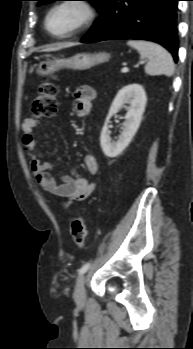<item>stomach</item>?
Segmentation results:
<instances>
[{
	"mask_svg": "<svg viewBox=\"0 0 193 349\" xmlns=\"http://www.w3.org/2000/svg\"><path fill=\"white\" fill-rule=\"evenodd\" d=\"M110 54L100 52L95 54L78 53L68 58L46 59L36 63L32 70L39 77H46L60 69L86 70L108 61Z\"/></svg>",
	"mask_w": 193,
	"mask_h": 349,
	"instance_id": "stomach-1",
	"label": "stomach"
}]
</instances>
